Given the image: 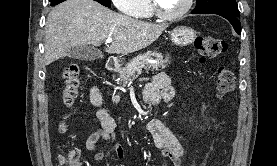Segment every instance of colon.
Segmentation results:
<instances>
[{
    "mask_svg": "<svg viewBox=\"0 0 277 166\" xmlns=\"http://www.w3.org/2000/svg\"><path fill=\"white\" fill-rule=\"evenodd\" d=\"M194 47L198 59L204 62L208 58L220 56L227 50L225 40L204 35L199 36L194 41ZM65 80L62 99L67 107H70L75 102L78 96L80 84V70L77 64H69L63 72ZM235 86V76L233 72L226 67H219L215 75L216 93L219 98H224L233 91ZM61 130H66V123L61 124ZM62 166H80V154L75 148H68L60 157Z\"/></svg>",
    "mask_w": 277,
    "mask_h": 166,
    "instance_id": "5ec220e1",
    "label": "colon"
}]
</instances>
